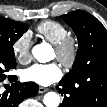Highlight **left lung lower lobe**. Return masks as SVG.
<instances>
[{
	"instance_id": "0a47b994",
	"label": "left lung lower lobe",
	"mask_w": 107,
	"mask_h": 107,
	"mask_svg": "<svg viewBox=\"0 0 107 107\" xmlns=\"http://www.w3.org/2000/svg\"><path fill=\"white\" fill-rule=\"evenodd\" d=\"M84 92L83 107H107V78L98 77L80 83ZM57 91L64 95L59 107H69L68 97L74 94V90L65 83L59 82Z\"/></svg>"
}]
</instances>
